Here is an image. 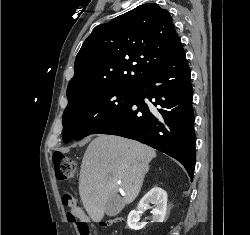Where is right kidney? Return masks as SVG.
<instances>
[{"mask_svg":"<svg viewBox=\"0 0 250 235\" xmlns=\"http://www.w3.org/2000/svg\"><path fill=\"white\" fill-rule=\"evenodd\" d=\"M153 204L154 208L151 211L152 222H163L167 210V193L160 187H153L140 200L137 209L150 208L149 204ZM140 214L137 210H132L127 219V224L132 230H140L145 226V223H139Z\"/></svg>","mask_w":250,"mask_h":235,"instance_id":"1","label":"right kidney"}]
</instances>
